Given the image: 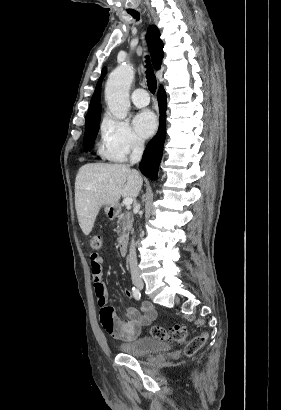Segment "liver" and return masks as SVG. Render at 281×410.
<instances>
[{"instance_id": "liver-1", "label": "liver", "mask_w": 281, "mask_h": 410, "mask_svg": "<svg viewBox=\"0 0 281 410\" xmlns=\"http://www.w3.org/2000/svg\"><path fill=\"white\" fill-rule=\"evenodd\" d=\"M142 184L140 174L129 165H83L75 181V208L82 232L90 234L103 205L115 206L121 197L135 199Z\"/></svg>"}]
</instances>
